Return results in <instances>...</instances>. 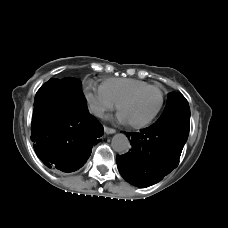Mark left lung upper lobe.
<instances>
[{
  "label": "left lung upper lobe",
  "mask_w": 228,
  "mask_h": 228,
  "mask_svg": "<svg viewBox=\"0 0 228 228\" xmlns=\"http://www.w3.org/2000/svg\"><path fill=\"white\" fill-rule=\"evenodd\" d=\"M157 121H164L169 124L190 121V108L186 98L181 93H170L166 107Z\"/></svg>",
  "instance_id": "5c2ea615"
}]
</instances>
